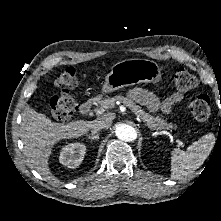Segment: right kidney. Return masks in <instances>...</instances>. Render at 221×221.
Wrapping results in <instances>:
<instances>
[{
    "label": "right kidney",
    "instance_id": "ca27d5eb",
    "mask_svg": "<svg viewBox=\"0 0 221 221\" xmlns=\"http://www.w3.org/2000/svg\"><path fill=\"white\" fill-rule=\"evenodd\" d=\"M86 146L80 143H69L60 152L59 161L62 165L74 169L78 167L84 159Z\"/></svg>",
    "mask_w": 221,
    "mask_h": 221
}]
</instances>
